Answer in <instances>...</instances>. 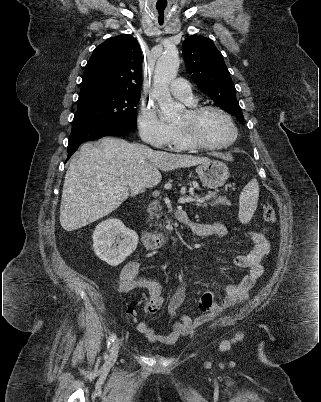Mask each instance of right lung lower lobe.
<instances>
[{"label": "right lung lower lobe", "instance_id": "1", "mask_svg": "<svg viewBox=\"0 0 321 402\" xmlns=\"http://www.w3.org/2000/svg\"><path fill=\"white\" fill-rule=\"evenodd\" d=\"M136 128V125L124 122L86 121L74 123L68 140L67 160L83 142L96 140L104 136L125 135L136 130Z\"/></svg>", "mask_w": 321, "mask_h": 402}]
</instances>
